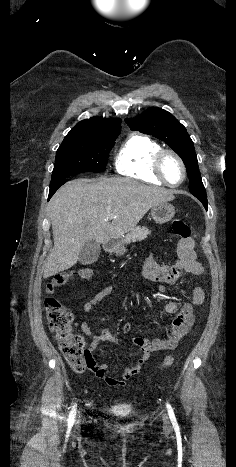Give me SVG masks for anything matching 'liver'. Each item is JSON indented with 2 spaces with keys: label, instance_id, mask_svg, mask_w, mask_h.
Wrapping results in <instances>:
<instances>
[{
  "label": "liver",
  "instance_id": "1",
  "mask_svg": "<svg viewBox=\"0 0 236 467\" xmlns=\"http://www.w3.org/2000/svg\"><path fill=\"white\" fill-rule=\"evenodd\" d=\"M173 191L125 178L75 179L49 202L54 246L44 266L48 278L73 267L88 240L105 243L131 231L150 208L174 200Z\"/></svg>",
  "mask_w": 236,
  "mask_h": 467
}]
</instances>
